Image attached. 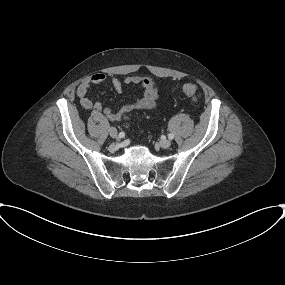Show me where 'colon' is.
<instances>
[{"instance_id": "obj_1", "label": "colon", "mask_w": 285, "mask_h": 285, "mask_svg": "<svg viewBox=\"0 0 285 285\" xmlns=\"http://www.w3.org/2000/svg\"><path fill=\"white\" fill-rule=\"evenodd\" d=\"M182 91L189 97H191L194 101L199 99V92L197 87L193 83H185L181 87ZM126 119V117H124Z\"/></svg>"}]
</instances>
